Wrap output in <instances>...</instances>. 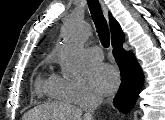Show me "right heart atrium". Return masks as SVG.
Returning <instances> with one entry per match:
<instances>
[{
  "label": "right heart atrium",
  "instance_id": "d8ad5b80",
  "mask_svg": "<svg viewBox=\"0 0 165 120\" xmlns=\"http://www.w3.org/2000/svg\"><path fill=\"white\" fill-rule=\"evenodd\" d=\"M51 78L56 94L67 102L79 104L96 99V95L82 78H63L60 76Z\"/></svg>",
  "mask_w": 165,
  "mask_h": 120
}]
</instances>
